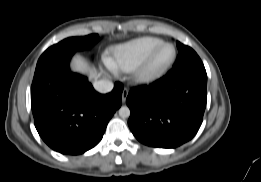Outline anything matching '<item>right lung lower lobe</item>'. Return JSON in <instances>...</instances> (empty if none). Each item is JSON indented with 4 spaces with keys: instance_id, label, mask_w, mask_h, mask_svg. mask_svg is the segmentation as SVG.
<instances>
[{
    "instance_id": "1",
    "label": "right lung lower lobe",
    "mask_w": 261,
    "mask_h": 182,
    "mask_svg": "<svg viewBox=\"0 0 261 182\" xmlns=\"http://www.w3.org/2000/svg\"><path fill=\"white\" fill-rule=\"evenodd\" d=\"M62 53L37 63L31 107L35 127L44 142L62 154L77 155L97 145L106 126L121 106L123 86L99 94L86 77L74 74Z\"/></svg>"
}]
</instances>
